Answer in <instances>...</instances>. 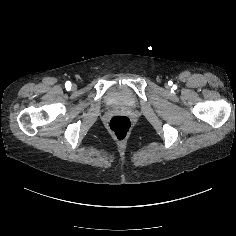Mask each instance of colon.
Masks as SVG:
<instances>
[{
  "instance_id": "5ec220e1",
  "label": "colon",
  "mask_w": 236,
  "mask_h": 236,
  "mask_svg": "<svg viewBox=\"0 0 236 236\" xmlns=\"http://www.w3.org/2000/svg\"><path fill=\"white\" fill-rule=\"evenodd\" d=\"M131 128V120L125 115L113 116L108 123L109 131L116 139L120 141L126 139L129 136Z\"/></svg>"
}]
</instances>
